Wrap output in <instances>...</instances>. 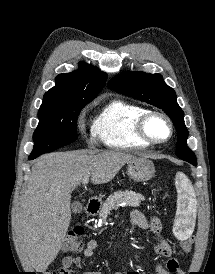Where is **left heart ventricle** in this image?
Segmentation results:
<instances>
[{"mask_svg": "<svg viewBox=\"0 0 215 274\" xmlns=\"http://www.w3.org/2000/svg\"><path fill=\"white\" fill-rule=\"evenodd\" d=\"M149 134L156 140H163L169 135L167 123L161 118H153L148 124Z\"/></svg>", "mask_w": 215, "mask_h": 274, "instance_id": "left-heart-ventricle-1", "label": "left heart ventricle"}]
</instances>
